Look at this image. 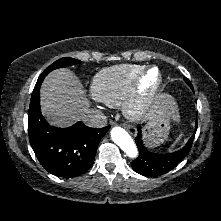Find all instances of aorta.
I'll use <instances>...</instances> for the list:
<instances>
[{"label":"aorta","mask_w":221,"mask_h":221,"mask_svg":"<svg viewBox=\"0 0 221 221\" xmlns=\"http://www.w3.org/2000/svg\"><path fill=\"white\" fill-rule=\"evenodd\" d=\"M111 138L130 158L137 157L138 149L136 144L125 129L114 127L111 130Z\"/></svg>","instance_id":"762f6f07"}]
</instances>
